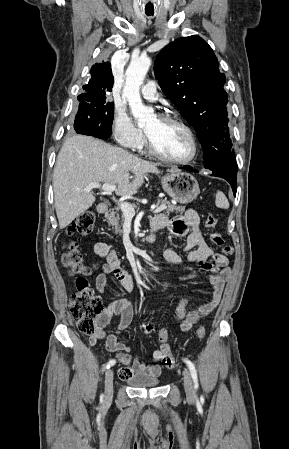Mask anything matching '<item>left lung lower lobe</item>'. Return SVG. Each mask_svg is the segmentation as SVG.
<instances>
[{"label":"left lung lower lobe","mask_w":289,"mask_h":449,"mask_svg":"<svg viewBox=\"0 0 289 449\" xmlns=\"http://www.w3.org/2000/svg\"><path fill=\"white\" fill-rule=\"evenodd\" d=\"M180 168L187 170V171H191V172H197V170H194L191 167H180ZM205 168H206V165H205ZM212 176H216V175L212 174ZM218 177H220V176H218ZM222 178H224L225 180H227L230 183V185L232 186L233 193H234V195H236L237 176H224Z\"/></svg>","instance_id":"1"}]
</instances>
